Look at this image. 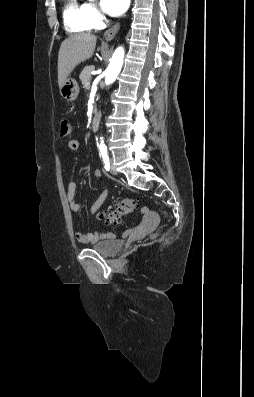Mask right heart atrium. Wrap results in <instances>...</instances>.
<instances>
[{
	"instance_id": "right-heart-atrium-1",
	"label": "right heart atrium",
	"mask_w": 254,
	"mask_h": 397,
	"mask_svg": "<svg viewBox=\"0 0 254 397\" xmlns=\"http://www.w3.org/2000/svg\"><path fill=\"white\" fill-rule=\"evenodd\" d=\"M86 12L92 28H99L103 24L104 16L95 4L87 3Z\"/></svg>"
}]
</instances>
